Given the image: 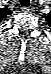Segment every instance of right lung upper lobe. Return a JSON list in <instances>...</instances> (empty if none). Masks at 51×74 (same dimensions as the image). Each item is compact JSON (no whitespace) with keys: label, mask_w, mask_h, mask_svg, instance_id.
I'll return each mask as SVG.
<instances>
[{"label":"right lung upper lobe","mask_w":51,"mask_h":74,"mask_svg":"<svg viewBox=\"0 0 51 74\" xmlns=\"http://www.w3.org/2000/svg\"><path fill=\"white\" fill-rule=\"evenodd\" d=\"M5 10V15L4 16H7L8 14L11 13V11L9 9H4Z\"/></svg>","instance_id":"right-lung-upper-lobe-1"}]
</instances>
